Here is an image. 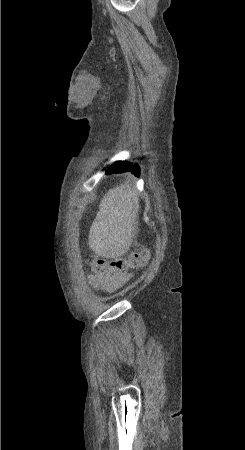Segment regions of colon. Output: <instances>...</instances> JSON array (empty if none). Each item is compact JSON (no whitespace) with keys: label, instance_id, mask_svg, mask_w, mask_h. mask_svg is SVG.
Wrapping results in <instances>:
<instances>
[{"label":"colon","instance_id":"obj_1","mask_svg":"<svg viewBox=\"0 0 245 450\" xmlns=\"http://www.w3.org/2000/svg\"><path fill=\"white\" fill-rule=\"evenodd\" d=\"M149 256V252L145 249H137L128 258H116L110 263L102 258H94L90 262L92 271L95 274H103L108 270L122 274L128 268H139L145 264Z\"/></svg>","mask_w":245,"mask_h":450}]
</instances>
